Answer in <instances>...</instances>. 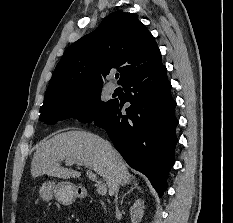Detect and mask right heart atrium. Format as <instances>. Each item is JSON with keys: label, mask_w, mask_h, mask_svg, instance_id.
Masks as SVG:
<instances>
[{"label": "right heart atrium", "mask_w": 233, "mask_h": 223, "mask_svg": "<svg viewBox=\"0 0 233 223\" xmlns=\"http://www.w3.org/2000/svg\"><path fill=\"white\" fill-rule=\"evenodd\" d=\"M86 112H87V109L85 107H81L77 112V116L82 117L86 114Z\"/></svg>", "instance_id": "1"}]
</instances>
